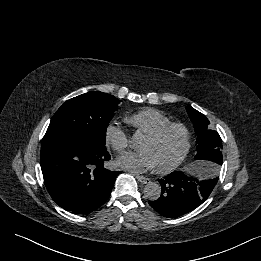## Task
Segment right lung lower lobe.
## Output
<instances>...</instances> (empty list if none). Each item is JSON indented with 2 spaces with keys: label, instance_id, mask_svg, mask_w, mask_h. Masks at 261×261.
Listing matches in <instances>:
<instances>
[{
  "label": "right lung lower lobe",
  "instance_id": "1",
  "mask_svg": "<svg viewBox=\"0 0 261 261\" xmlns=\"http://www.w3.org/2000/svg\"><path fill=\"white\" fill-rule=\"evenodd\" d=\"M105 146L69 142L41 148L40 164L52 199L75 214H89L110 196L119 171L104 168Z\"/></svg>",
  "mask_w": 261,
  "mask_h": 261
}]
</instances>
